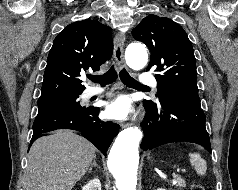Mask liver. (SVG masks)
Returning a JSON list of instances; mask_svg holds the SVG:
<instances>
[{
  "label": "liver",
  "mask_w": 238,
  "mask_h": 190,
  "mask_svg": "<svg viewBox=\"0 0 238 190\" xmlns=\"http://www.w3.org/2000/svg\"><path fill=\"white\" fill-rule=\"evenodd\" d=\"M96 148L70 130L37 139L28 154L25 190H72L96 157Z\"/></svg>",
  "instance_id": "6515ba94"
}]
</instances>
